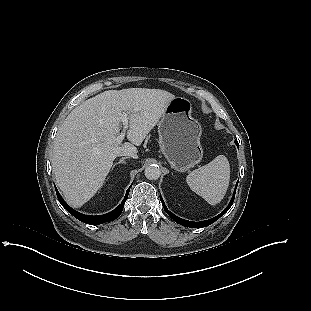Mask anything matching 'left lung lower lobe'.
I'll return each mask as SVG.
<instances>
[{
	"label": "left lung lower lobe",
	"instance_id": "obj_1",
	"mask_svg": "<svg viewBox=\"0 0 311 311\" xmlns=\"http://www.w3.org/2000/svg\"><path fill=\"white\" fill-rule=\"evenodd\" d=\"M235 143L237 144L238 146V142L235 141ZM238 184V183H237ZM236 192V190H235ZM235 192L233 194V197L229 203V205L225 208V210L223 212H221L219 215H217L216 217L212 218V219H209V220H205V221H201V222H191V221H187V220H184L182 218H179L177 217L176 215L172 214L165 206V203L160 195V200L162 202V205H163V208L164 210L167 212V214L178 224L180 225H183L185 227H190V228H202V227H206L210 224H212L213 222H215L217 219H219L222 215H224L229 209L230 207L232 206L233 204V201H234V196H235Z\"/></svg>",
	"mask_w": 311,
	"mask_h": 311
}]
</instances>
